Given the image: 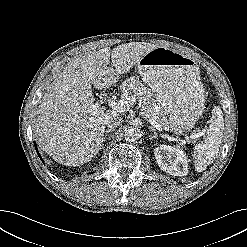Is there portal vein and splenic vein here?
Returning a JSON list of instances; mask_svg holds the SVG:
<instances>
[{"label": "portal vein and splenic vein", "instance_id": "18ae733b", "mask_svg": "<svg viewBox=\"0 0 247 247\" xmlns=\"http://www.w3.org/2000/svg\"><path fill=\"white\" fill-rule=\"evenodd\" d=\"M136 101L135 96H125L122 97L119 101L110 100L109 106H111L117 112H124L130 105H132ZM96 108V105L94 106ZM148 122L157 130H162V126L156 122L155 119L150 117L149 115L146 117ZM205 133H201L200 136H204Z\"/></svg>", "mask_w": 247, "mask_h": 247}]
</instances>
